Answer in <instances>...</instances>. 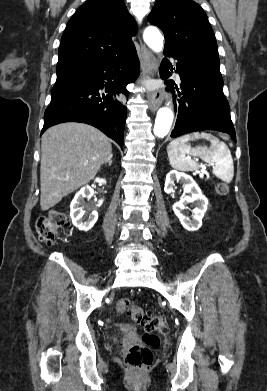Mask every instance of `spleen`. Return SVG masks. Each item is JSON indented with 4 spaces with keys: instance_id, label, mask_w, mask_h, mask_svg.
Returning a JSON list of instances; mask_svg holds the SVG:
<instances>
[{
    "instance_id": "3e777b00",
    "label": "spleen",
    "mask_w": 267,
    "mask_h": 391,
    "mask_svg": "<svg viewBox=\"0 0 267 391\" xmlns=\"http://www.w3.org/2000/svg\"><path fill=\"white\" fill-rule=\"evenodd\" d=\"M206 139L210 147L188 145L190 140ZM170 165L180 171H194L200 166L189 156L200 157L204 162L214 164L213 174L226 183L234 176V164L228 146L217 137L206 132H193L172 140L167 146Z\"/></svg>"
}]
</instances>
